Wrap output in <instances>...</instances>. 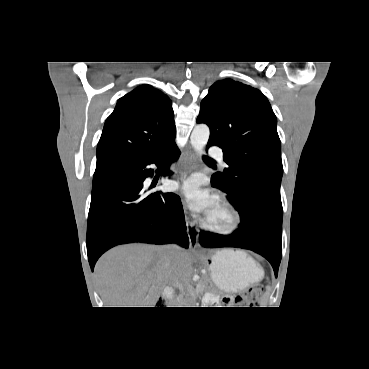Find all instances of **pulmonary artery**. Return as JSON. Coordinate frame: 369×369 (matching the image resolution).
<instances>
[{"mask_svg": "<svg viewBox=\"0 0 369 369\" xmlns=\"http://www.w3.org/2000/svg\"><path fill=\"white\" fill-rule=\"evenodd\" d=\"M209 154L213 157H215L216 159H218L220 162H223V154L221 149L217 148V147H212L209 150Z\"/></svg>", "mask_w": 369, "mask_h": 369, "instance_id": "obj_1", "label": "pulmonary artery"}]
</instances>
